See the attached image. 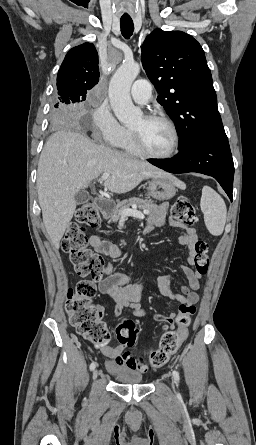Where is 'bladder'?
I'll return each mask as SVG.
<instances>
[{"label":"bladder","instance_id":"bladder-1","mask_svg":"<svg viewBox=\"0 0 256 445\" xmlns=\"http://www.w3.org/2000/svg\"><path fill=\"white\" fill-rule=\"evenodd\" d=\"M113 375L122 384H139L142 381V374L138 371H113Z\"/></svg>","mask_w":256,"mask_h":445}]
</instances>
